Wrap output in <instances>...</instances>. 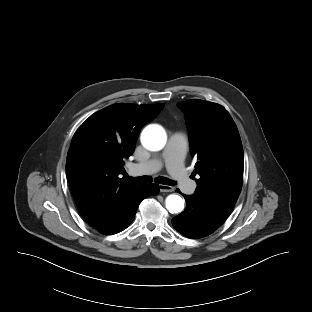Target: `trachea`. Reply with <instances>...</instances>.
I'll list each match as a JSON object with an SVG mask.
<instances>
[{
  "label": "trachea",
  "instance_id": "3493384b",
  "mask_svg": "<svg viewBox=\"0 0 312 312\" xmlns=\"http://www.w3.org/2000/svg\"><path fill=\"white\" fill-rule=\"evenodd\" d=\"M130 179L133 182L139 183V184L152 182V178L148 176H140L137 178H130ZM155 182L163 184V185H175L176 184L173 180L166 178V177H160V176L155 179Z\"/></svg>",
  "mask_w": 312,
  "mask_h": 312
}]
</instances>
